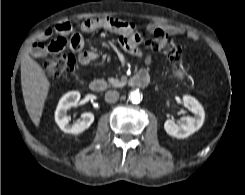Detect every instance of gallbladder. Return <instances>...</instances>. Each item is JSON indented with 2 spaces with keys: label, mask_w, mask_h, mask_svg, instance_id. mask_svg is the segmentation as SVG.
<instances>
[{
  "label": "gallbladder",
  "mask_w": 245,
  "mask_h": 195,
  "mask_svg": "<svg viewBox=\"0 0 245 195\" xmlns=\"http://www.w3.org/2000/svg\"><path fill=\"white\" fill-rule=\"evenodd\" d=\"M47 54V51L46 50H43L42 51V55H46Z\"/></svg>",
  "instance_id": "bac80fb5"
}]
</instances>
